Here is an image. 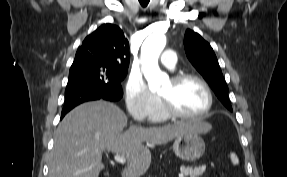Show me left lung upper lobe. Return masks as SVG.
<instances>
[{"mask_svg": "<svg viewBox=\"0 0 287 177\" xmlns=\"http://www.w3.org/2000/svg\"><path fill=\"white\" fill-rule=\"evenodd\" d=\"M184 48L192 65L208 82L223 105L232 111L228 98V87L210 44L198 33L188 29L184 37Z\"/></svg>", "mask_w": 287, "mask_h": 177, "instance_id": "1", "label": "left lung upper lobe"}]
</instances>
